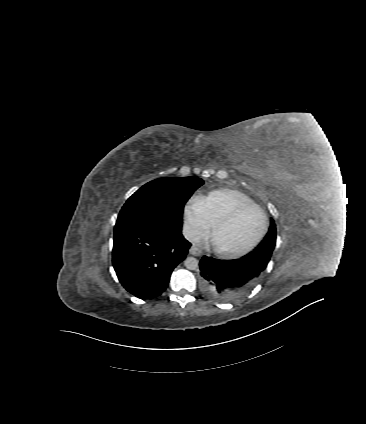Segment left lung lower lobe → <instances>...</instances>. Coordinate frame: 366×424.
<instances>
[{"mask_svg":"<svg viewBox=\"0 0 366 424\" xmlns=\"http://www.w3.org/2000/svg\"><path fill=\"white\" fill-rule=\"evenodd\" d=\"M267 264L250 254L234 260H217L204 256L199 263L200 289L215 301H234L259 282Z\"/></svg>","mask_w":366,"mask_h":424,"instance_id":"1","label":"left lung lower lobe"}]
</instances>
